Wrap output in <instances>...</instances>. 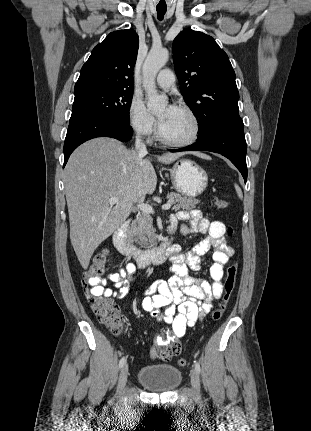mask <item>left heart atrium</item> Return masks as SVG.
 Returning <instances> with one entry per match:
<instances>
[{"label":"left heart atrium","instance_id":"1","mask_svg":"<svg viewBox=\"0 0 311 431\" xmlns=\"http://www.w3.org/2000/svg\"><path fill=\"white\" fill-rule=\"evenodd\" d=\"M177 109L175 105H169L167 107L166 116L170 115L172 112H174Z\"/></svg>","mask_w":311,"mask_h":431}]
</instances>
